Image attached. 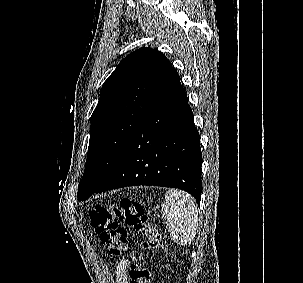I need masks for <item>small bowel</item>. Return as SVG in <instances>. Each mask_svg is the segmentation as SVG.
Masks as SVG:
<instances>
[{"label": "small bowel", "mask_w": 303, "mask_h": 283, "mask_svg": "<svg viewBox=\"0 0 303 283\" xmlns=\"http://www.w3.org/2000/svg\"><path fill=\"white\" fill-rule=\"evenodd\" d=\"M128 260L123 259L121 260L115 269V276H116V282L117 283H128V275H127V270H128Z\"/></svg>", "instance_id": "c3829d8e"}]
</instances>
